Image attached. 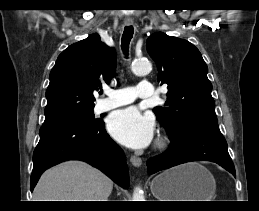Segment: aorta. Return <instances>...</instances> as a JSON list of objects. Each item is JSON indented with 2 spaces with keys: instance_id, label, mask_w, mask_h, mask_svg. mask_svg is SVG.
Returning <instances> with one entry per match:
<instances>
[{
  "instance_id": "762f6f07",
  "label": "aorta",
  "mask_w": 259,
  "mask_h": 211,
  "mask_svg": "<svg viewBox=\"0 0 259 211\" xmlns=\"http://www.w3.org/2000/svg\"><path fill=\"white\" fill-rule=\"evenodd\" d=\"M152 65L149 60L141 59L137 60L132 64V72L137 76H143L150 73ZM132 201H145L143 190L140 187H135Z\"/></svg>"
}]
</instances>
